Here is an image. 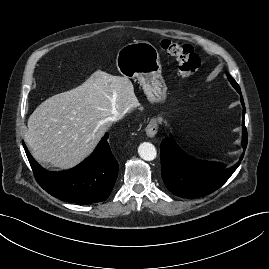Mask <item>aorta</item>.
<instances>
[{"instance_id": "762f6f07", "label": "aorta", "mask_w": 269, "mask_h": 269, "mask_svg": "<svg viewBox=\"0 0 269 269\" xmlns=\"http://www.w3.org/2000/svg\"><path fill=\"white\" fill-rule=\"evenodd\" d=\"M138 153L139 156L146 161L154 160L157 155L155 146L149 142L141 143L138 147Z\"/></svg>"}]
</instances>
